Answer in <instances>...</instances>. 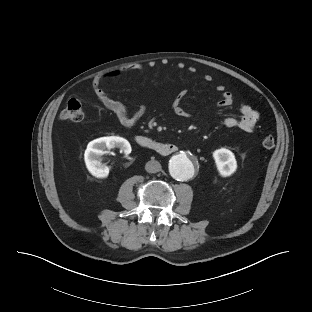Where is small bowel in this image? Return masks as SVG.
Instances as JSON below:
<instances>
[{"mask_svg":"<svg viewBox=\"0 0 312 312\" xmlns=\"http://www.w3.org/2000/svg\"><path fill=\"white\" fill-rule=\"evenodd\" d=\"M155 62H150L149 67L154 68ZM145 68L140 64H132L126 67L116 69L101 75L96 76L92 81V88L100 103L113 112L119 122L127 128L134 127L145 115L146 108L143 105H139L133 113H129L126 105L118 100L113 99L106 91L103 90L102 84L114 78L122 77L125 74L130 73H143ZM206 82L212 80L211 76L206 75L204 77ZM216 91L221 94L216 106L218 109L229 107L233 104V96L229 91L225 90L223 85H218ZM180 98H177L172 109L178 116H186L185 110L179 104ZM241 116L234 117L228 116L224 119V125L231 129H240L245 132H252L256 123L259 120V113L247 104H243L240 107Z\"/></svg>","mask_w":312,"mask_h":312,"instance_id":"1","label":"small bowel"}]
</instances>
